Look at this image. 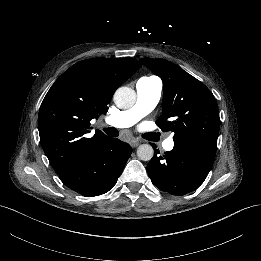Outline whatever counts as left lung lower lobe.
Listing matches in <instances>:
<instances>
[{"instance_id": "0a47b994", "label": "left lung lower lobe", "mask_w": 261, "mask_h": 261, "mask_svg": "<svg viewBox=\"0 0 261 261\" xmlns=\"http://www.w3.org/2000/svg\"><path fill=\"white\" fill-rule=\"evenodd\" d=\"M156 155L147 166L153 184L172 195L197 189L207 177L215 159L216 146L199 140L174 142L163 156Z\"/></svg>"}]
</instances>
